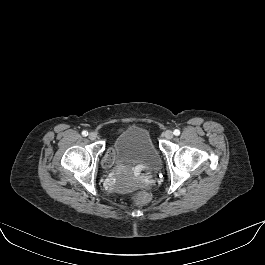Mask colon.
<instances>
[{
	"mask_svg": "<svg viewBox=\"0 0 265 265\" xmlns=\"http://www.w3.org/2000/svg\"><path fill=\"white\" fill-rule=\"evenodd\" d=\"M136 205H143L148 201V195L144 192L137 193L133 196Z\"/></svg>",
	"mask_w": 265,
	"mask_h": 265,
	"instance_id": "obj_1",
	"label": "colon"
}]
</instances>
